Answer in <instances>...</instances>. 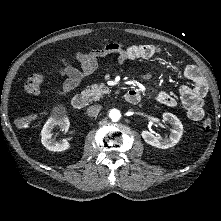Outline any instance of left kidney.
Instances as JSON below:
<instances>
[{"label":"left kidney","mask_w":221,"mask_h":221,"mask_svg":"<svg viewBox=\"0 0 221 221\" xmlns=\"http://www.w3.org/2000/svg\"><path fill=\"white\" fill-rule=\"evenodd\" d=\"M162 116L164 121H168L173 125L169 138L157 137L147 130L142 131L141 135L147 144L156 148L167 149L175 146L180 141L183 134V125L172 113H163Z\"/></svg>","instance_id":"5707ae66"}]
</instances>
